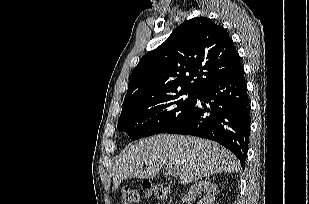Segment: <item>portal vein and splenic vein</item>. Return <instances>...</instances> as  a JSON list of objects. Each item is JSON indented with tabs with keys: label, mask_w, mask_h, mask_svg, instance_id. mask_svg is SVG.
<instances>
[{
	"label": "portal vein and splenic vein",
	"mask_w": 309,
	"mask_h": 204,
	"mask_svg": "<svg viewBox=\"0 0 309 204\" xmlns=\"http://www.w3.org/2000/svg\"><path fill=\"white\" fill-rule=\"evenodd\" d=\"M166 174L170 175L172 177L178 176L177 172L173 168H171V167H167L166 168Z\"/></svg>",
	"instance_id": "portal-vein-and-splenic-vein-1"
}]
</instances>
